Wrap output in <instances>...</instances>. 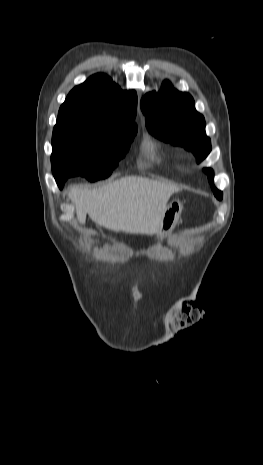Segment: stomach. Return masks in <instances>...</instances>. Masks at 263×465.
I'll list each match as a JSON object with an SVG mask.
<instances>
[{"label":"stomach","mask_w":263,"mask_h":465,"mask_svg":"<svg viewBox=\"0 0 263 465\" xmlns=\"http://www.w3.org/2000/svg\"><path fill=\"white\" fill-rule=\"evenodd\" d=\"M182 209L183 204L179 200H173L167 205L160 222L159 230L157 232L161 239L166 237L175 228L180 218Z\"/></svg>","instance_id":"obj_1"}]
</instances>
